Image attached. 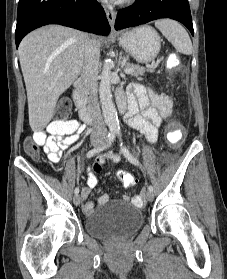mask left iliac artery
<instances>
[{
  "mask_svg": "<svg viewBox=\"0 0 227 279\" xmlns=\"http://www.w3.org/2000/svg\"><path fill=\"white\" fill-rule=\"evenodd\" d=\"M116 133L118 134L119 139L121 140V132L120 130H117ZM121 151L123 155L134 165H139V161L129 152V150L126 148V146L123 145L121 142ZM149 191H153V187L149 185L148 187Z\"/></svg>",
  "mask_w": 227,
  "mask_h": 279,
  "instance_id": "44dca946",
  "label": "left iliac artery"
}]
</instances>
